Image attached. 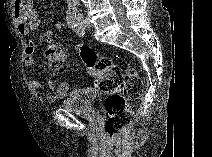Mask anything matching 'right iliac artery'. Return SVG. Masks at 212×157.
<instances>
[{"label": "right iliac artery", "instance_id": "right-iliac-artery-1", "mask_svg": "<svg viewBox=\"0 0 212 157\" xmlns=\"http://www.w3.org/2000/svg\"><path fill=\"white\" fill-rule=\"evenodd\" d=\"M77 17H76V14H70L68 17H67V23H68V26L72 29H75L76 28V24H77Z\"/></svg>", "mask_w": 212, "mask_h": 157}]
</instances>
